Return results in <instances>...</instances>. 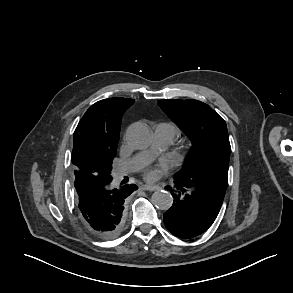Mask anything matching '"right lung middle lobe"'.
<instances>
[{"label": "right lung middle lobe", "mask_w": 293, "mask_h": 293, "mask_svg": "<svg viewBox=\"0 0 293 293\" xmlns=\"http://www.w3.org/2000/svg\"><path fill=\"white\" fill-rule=\"evenodd\" d=\"M113 159H114V156L113 157H105L101 160L95 161L94 166L96 168V172L92 173V174L102 175V176H110Z\"/></svg>", "instance_id": "dd1d6c3e"}]
</instances>
